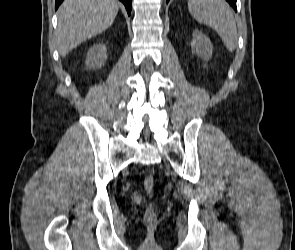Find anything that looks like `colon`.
Returning <instances> with one entry per match:
<instances>
[{"instance_id":"5ec220e1","label":"colon","mask_w":295,"mask_h":250,"mask_svg":"<svg viewBox=\"0 0 295 250\" xmlns=\"http://www.w3.org/2000/svg\"><path fill=\"white\" fill-rule=\"evenodd\" d=\"M154 184H155V181H154V177L152 175H147L144 178V181H143L144 189L146 190V192L149 195H151L153 193ZM144 219L148 223H153L155 221L156 212H155L154 207L151 206L145 211Z\"/></svg>"}]
</instances>
